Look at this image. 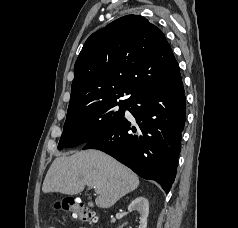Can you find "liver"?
I'll return each instance as SVG.
<instances>
[{
    "label": "liver",
    "mask_w": 238,
    "mask_h": 228,
    "mask_svg": "<svg viewBox=\"0 0 238 228\" xmlns=\"http://www.w3.org/2000/svg\"><path fill=\"white\" fill-rule=\"evenodd\" d=\"M86 185L95 187L96 205L109 208L134 191L139 186V178L114 158L91 149L57 157L45 176L42 190L76 195Z\"/></svg>",
    "instance_id": "obj_1"
}]
</instances>
